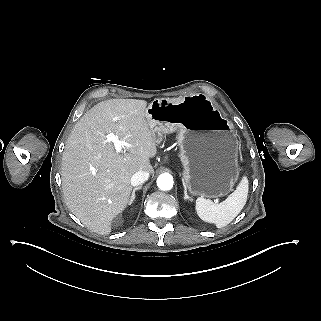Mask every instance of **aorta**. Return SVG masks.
<instances>
[{
    "mask_svg": "<svg viewBox=\"0 0 321 321\" xmlns=\"http://www.w3.org/2000/svg\"><path fill=\"white\" fill-rule=\"evenodd\" d=\"M157 186L160 190L167 191L173 187V177L168 174H161L157 179Z\"/></svg>",
    "mask_w": 321,
    "mask_h": 321,
    "instance_id": "obj_1",
    "label": "aorta"
}]
</instances>
